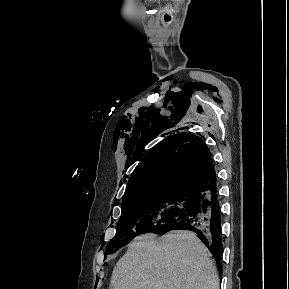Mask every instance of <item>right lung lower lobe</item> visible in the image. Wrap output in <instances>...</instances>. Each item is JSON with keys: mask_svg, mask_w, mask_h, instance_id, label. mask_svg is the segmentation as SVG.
Listing matches in <instances>:
<instances>
[{"mask_svg": "<svg viewBox=\"0 0 289 289\" xmlns=\"http://www.w3.org/2000/svg\"><path fill=\"white\" fill-rule=\"evenodd\" d=\"M193 208L181 219L154 233L162 235L171 230H190L199 235L216 259L220 274L222 273L221 253L223 252L220 204L216 183L204 192L197 194Z\"/></svg>", "mask_w": 289, "mask_h": 289, "instance_id": "98d812e1", "label": "right lung lower lobe"}]
</instances>
